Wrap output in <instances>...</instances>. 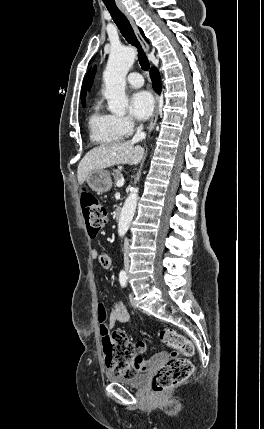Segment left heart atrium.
<instances>
[{
	"mask_svg": "<svg viewBox=\"0 0 264 429\" xmlns=\"http://www.w3.org/2000/svg\"><path fill=\"white\" fill-rule=\"evenodd\" d=\"M154 110V100L147 91H138L130 99V112L139 120L147 119Z\"/></svg>",
	"mask_w": 264,
	"mask_h": 429,
	"instance_id": "39dd6f15",
	"label": "left heart atrium"
}]
</instances>
